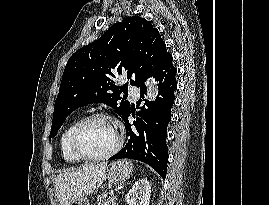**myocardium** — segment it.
I'll use <instances>...</instances> for the list:
<instances>
[{
	"mask_svg": "<svg viewBox=\"0 0 269 205\" xmlns=\"http://www.w3.org/2000/svg\"><path fill=\"white\" fill-rule=\"evenodd\" d=\"M102 120L107 121L112 124L116 136V142L115 145L106 153L100 154V155H87L83 153L79 147V137L82 131L92 122ZM123 145V135L120 130V126L118 121L111 117L110 115L106 113H95L90 116H87L81 122L76 126L74 129L71 140H70V146L73 151V153L80 159V160H88V161H98V160H104L108 159L115 154H117Z\"/></svg>",
	"mask_w": 269,
	"mask_h": 205,
	"instance_id": "1",
	"label": "myocardium"
}]
</instances>
